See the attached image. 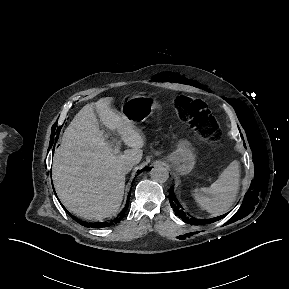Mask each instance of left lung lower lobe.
Masks as SVG:
<instances>
[{
    "instance_id": "1",
    "label": "left lung lower lobe",
    "mask_w": 289,
    "mask_h": 289,
    "mask_svg": "<svg viewBox=\"0 0 289 289\" xmlns=\"http://www.w3.org/2000/svg\"><path fill=\"white\" fill-rule=\"evenodd\" d=\"M169 202H170L171 207L174 209L175 214H177L180 218H182V220L185 221L186 223H190L193 225L212 223L217 220H220L221 218L225 216V215H222V216L207 219V220H197V219L193 220V219L188 218L185 215V213L182 211V207L177 201V199L175 198V195L172 193L171 188L169 189Z\"/></svg>"
}]
</instances>
